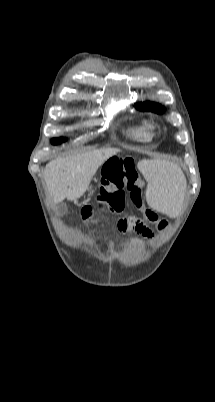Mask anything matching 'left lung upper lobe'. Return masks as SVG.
<instances>
[{
  "label": "left lung upper lobe",
  "mask_w": 215,
  "mask_h": 402,
  "mask_svg": "<svg viewBox=\"0 0 215 402\" xmlns=\"http://www.w3.org/2000/svg\"><path fill=\"white\" fill-rule=\"evenodd\" d=\"M136 108L140 110H147V111H153L157 112L159 114H162L164 112V107L153 102H144V103H138L135 105Z\"/></svg>",
  "instance_id": "left-lung-upper-lobe-1"
}]
</instances>
